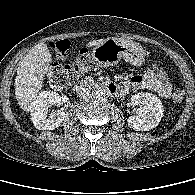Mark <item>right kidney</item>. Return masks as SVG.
<instances>
[{
	"instance_id": "ca27d5eb",
	"label": "right kidney",
	"mask_w": 195,
	"mask_h": 195,
	"mask_svg": "<svg viewBox=\"0 0 195 195\" xmlns=\"http://www.w3.org/2000/svg\"><path fill=\"white\" fill-rule=\"evenodd\" d=\"M61 102L62 97L58 93L53 91L41 92L31 111L34 126L39 130H54L59 127L66 117L65 112L57 110L48 116V111L51 106H59Z\"/></svg>"
}]
</instances>
